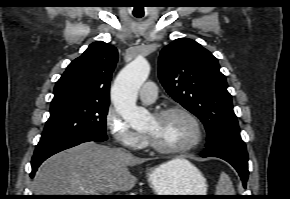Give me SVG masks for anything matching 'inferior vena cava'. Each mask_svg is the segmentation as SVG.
Wrapping results in <instances>:
<instances>
[{
	"mask_svg": "<svg viewBox=\"0 0 290 199\" xmlns=\"http://www.w3.org/2000/svg\"><path fill=\"white\" fill-rule=\"evenodd\" d=\"M124 152H126V150H124V149H122ZM126 153H128V152H126Z\"/></svg>",
	"mask_w": 290,
	"mask_h": 199,
	"instance_id": "obj_1",
	"label": "inferior vena cava"
}]
</instances>
